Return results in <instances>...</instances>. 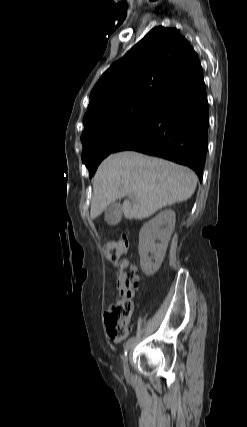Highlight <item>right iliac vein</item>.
Wrapping results in <instances>:
<instances>
[{
  "instance_id": "63e3f726",
  "label": "right iliac vein",
  "mask_w": 247,
  "mask_h": 427,
  "mask_svg": "<svg viewBox=\"0 0 247 427\" xmlns=\"http://www.w3.org/2000/svg\"><path fill=\"white\" fill-rule=\"evenodd\" d=\"M128 360H129V355H127L124 359V371L125 372L128 371Z\"/></svg>"
}]
</instances>
